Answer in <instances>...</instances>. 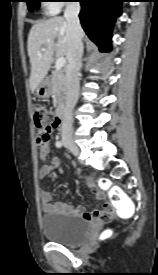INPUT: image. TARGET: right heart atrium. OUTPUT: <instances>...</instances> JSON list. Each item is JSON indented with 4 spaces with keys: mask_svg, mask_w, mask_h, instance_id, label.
<instances>
[{
    "mask_svg": "<svg viewBox=\"0 0 158 275\" xmlns=\"http://www.w3.org/2000/svg\"><path fill=\"white\" fill-rule=\"evenodd\" d=\"M53 3L48 4L49 11L55 13L59 8H61L67 0H54Z\"/></svg>",
    "mask_w": 158,
    "mask_h": 275,
    "instance_id": "obj_1",
    "label": "right heart atrium"
}]
</instances>
